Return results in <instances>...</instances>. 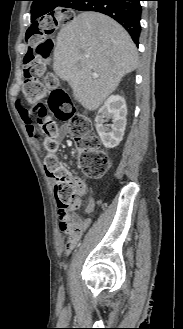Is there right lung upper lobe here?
<instances>
[{
	"instance_id": "obj_1",
	"label": "right lung upper lobe",
	"mask_w": 183,
	"mask_h": 329,
	"mask_svg": "<svg viewBox=\"0 0 183 329\" xmlns=\"http://www.w3.org/2000/svg\"><path fill=\"white\" fill-rule=\"evenodd\" d=\"M31 20L45 15L53 14V10L56 7H67L69 8L70 2L73 0H32Z\"/></svg>"
}]
</instances>
